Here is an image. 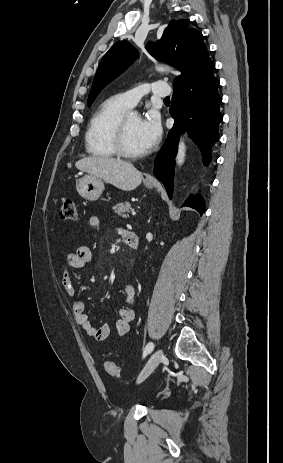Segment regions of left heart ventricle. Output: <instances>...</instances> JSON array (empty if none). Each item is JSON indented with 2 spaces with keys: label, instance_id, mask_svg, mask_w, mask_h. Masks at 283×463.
I'll use <instances>...</instances> for the list:
<instances>
[{
  "label": "left heart ventricle",
  "instance_id": "left-heart-ventricle-1",
  "mask_svg": "<svg viewBox=\"0 0 283 463\" xmlns=\"http://www.w3.org/2000/svg\"><path fill=\"white\" fill-rule=\"evenodd\" d=\"M139 124L140 119L137 116L129 115L127 117L125 128V145L129 151L134 153L147 151L141 139Z\"/></svg>",
  "mask_w": 283,
  "mask_h": 463
}]
</instances>
